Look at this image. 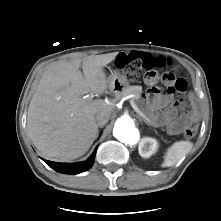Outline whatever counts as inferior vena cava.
Here are the masks:
<instances>
[{"mask_svg": "<svg viewBox=\"0 0 221 221\" xmlns=\"http://www.w3.org/2000/svg\"><path fill=\"white\" fill-rule=\"evenodd\" d=\"M96 123L99 127L104 126L109 121V115L98 113L95 116Z\"/></svg>", "mask_w": 221, "mask_h": 221, "instance_id": "602c4592", "label": "inferior vena cava"}]
</instances>
